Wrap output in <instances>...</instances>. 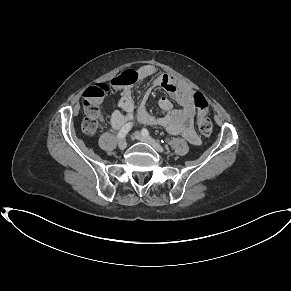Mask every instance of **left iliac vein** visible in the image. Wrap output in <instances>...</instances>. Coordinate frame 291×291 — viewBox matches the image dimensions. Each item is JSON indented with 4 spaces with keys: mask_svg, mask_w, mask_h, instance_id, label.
Returning <instances> with one entry per match:
<instances>
[{
    "mask_svg": "<svg viewBox=\"0 0 291 291\" xmlns=\"http://www.w3.org/2000/svg\"><path fill=\"white\" fill-rule=\"evenodd\" d=\"M135 137L142 141V142H146L148 143L149 145H151L155 150L159 151V152H163V148L162 146L156 142L153 138L149 137V136H145L143 135L141 132H135Z\"/></svg>",
    "mask_w": 291,
    "mask_h": 291,
    "instance_id": "left-iliac-vein-1",
    "label": "left iliac vein"
}]
</instances>
